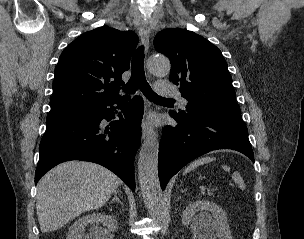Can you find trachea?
<instances>
[{
    "label": "trachea",
    "instance_id": "obj_1",
    "mask_svg": "<svg viewBox=\"0 0 304 239\" xmlns=\"http://www.w3.org/2000/svg\"><path fill=\"white\" fill-rule=\"evenodd\" d=\"M144 46H140L134 56L132 58V72L131 77L126 85H124L123 90L126 93H133L138 88L142 91V93L151 101H160V102H167V101H174L173 99H167L161 96H158L150 87L149 83L145 78L144 72Z\"/></svg>",
    "mask_w": 304,
    "mask_h": 239
}]
</instances>
